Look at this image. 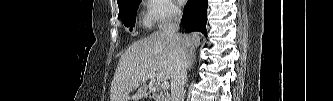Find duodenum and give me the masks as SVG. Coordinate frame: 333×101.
I'll return each mask as SVG.
<instances>
[{"label":"duodenum","mask_w":333,"mask_h":101,"mask_svg":"<svg viewBox=\"0 0 333 101\" xmlns=\"http://www.w3.org/2000/svg\"><path fill=\"white\" fill-rule=\"evenodd\" d=\"M149 98L154 100V101H160V97L156 93H151L149 95Z\"/></svg>","instance_id":"410a0bca"}]
</instances>
